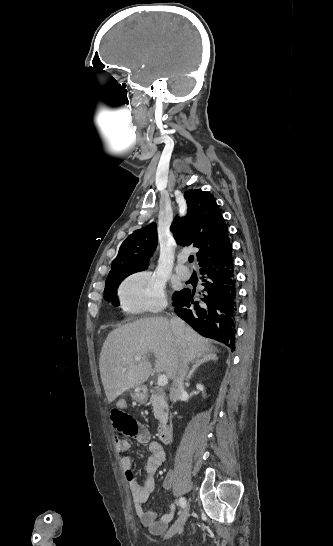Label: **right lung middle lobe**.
Returning a JSON list of instances; mask_svg holds the SVG:
<instances>
[{"instance_id":"dd1d6c3e","label":"right lung middle lobe","mask_w":333,"mask_h":546,"mask_svg":"<svg viewBox=\"0 0 333 546\" xmlns=\"http://www.w3.org/2000/svg\"><path fill=\"white\" fill-rule=\"evenodd\" d=\"M138 271L140 270H121L110 272L105 283V300L112 302L114 305H118L116 289L123 279Z\"/></svg>"}]
</instances>
